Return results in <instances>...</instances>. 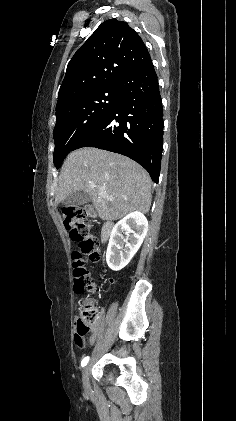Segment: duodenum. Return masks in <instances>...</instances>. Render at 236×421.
Returning <instances> with one entry per match:
<instances>
[{
	"label": "duodenum",
	"mask_w": 236,
	"mask_h": 421,
	"mask_svg": "<svg viewBox=\"0 0 236 421\" xmlns=\"http://www.w3.org/2000/svg\"><path fill=\"white\" fill-rule=\"evenodd\" d=\"M112 230H113V222L106 221L103 223L102 228H101V240L103 242L106 241L110 237ZM96 336L97 334L94 336L93 341H95Z\"/></svg>",
	"instance_id": "410a0bca"
}]
</instances>
